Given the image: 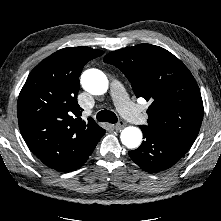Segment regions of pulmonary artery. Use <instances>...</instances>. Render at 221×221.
<instances>
[{
	"instance_id": "pulmonary-artery-1",
	"label": "pulmonary artery",
	"mask_w": 221,
	"mask_h": 221,
	"mask_svg": "<svg viewBox=\"0 0 221 221\" xmlns=\"http://www.w3.org/2000/svg\"><path fill=\"white\" fill-rule=\"evenodd\" d=\"M110 93L118 110L125 118L135 124L145 123V115L129 100L127 93L120 82L115 80L111 83Z\"/></svg>"
}]
</instances>
